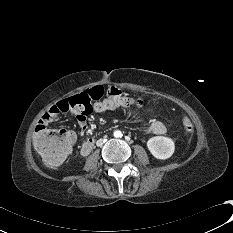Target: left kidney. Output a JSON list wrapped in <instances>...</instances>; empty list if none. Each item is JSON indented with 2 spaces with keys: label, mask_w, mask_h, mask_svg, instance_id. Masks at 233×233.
<instances>
[{
  "label": "left kidney",
  "mask_w": 233,
  "mask_h": 233,
  "mask_svg": "<svg viewBox=\"0 0 233 233\" xmlns=\"http://www.w3.org/2000/svg\"><path fill=\"white\" fill-rule=\"evenodd\" d=\"M147 147L150 153L160 160L170 158L175 151L174 141L165 136H155L147 141Z\"/></svg>",
  "instance_id": "1"
}]
</instances>
